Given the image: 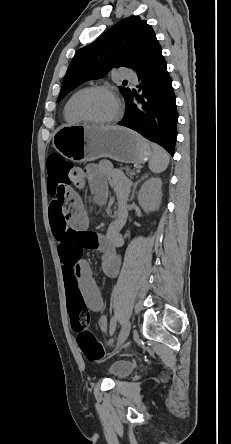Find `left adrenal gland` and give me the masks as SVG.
Listing matches in <instances>:
<instances>
[{"mask_svg":"<svg viewBox=\"0 0 231 444\" xmlns=\"http://www.w3.org/2000/svg\"><path fill=\"white\" fill-rule=\"evenodd\" d=\"M147 176H148V174H145L144 176H142L139 180H137V181L134 183V185H133V190H132V195H131V197H130V201H132V199L134 198V193H135V189H136L137 184H138L139 182H141V180H143V179L146 178Z\"/></svg>","mask_w":231,"mask_h":444,"instance_id":"a2214340","label":"left adrenal gland"}]
</instances>
